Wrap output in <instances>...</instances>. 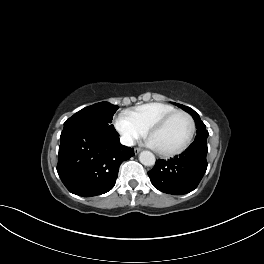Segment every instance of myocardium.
Segmentation results:
<instances>
[{
    "instance_id": "myocardium-1",
    "label": "myocardium",
    "mask_w": 264,
    "mask_h": 264,
    "mask_svg": "<svg viewBox=\"0 0 264 264\" xmlns=\"http://www.w3.org/2000/svg\"><path fill=\"white\" fill-rule=\"evenodd\" d=\"M185 116L189 123H190V133L186 139V141L179 147L172 149V150H168V151H162L156 148V151L162 155V156H166V157H170V156H175L178 155L182 152H184L192 143L195 133H196V124L195 121L193 119V117L186 111H182V110H176L173 111L171 113H169L168 115L164 116L163 118H161L158 122H156L148 131V137L151 138L156 132L160 131L161 129H163L169 121H171L174 117L176 116Z\"/></svg>"
}]
</instances>
